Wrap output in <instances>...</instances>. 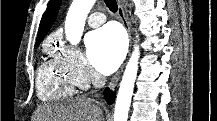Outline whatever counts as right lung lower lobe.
I'll return each instance as SVG.
<instances>
[{
	"label": "right lung lower lobe",
	"instance_id": "1",
	"mask_svg": "<svg viewBox=\"0 0 217 121\" xmlns=\"http://www.w3.org/2000/svg\"><path fill=\"white\" fill-rule=\"evenodd\" d=\"M114 96H115V93H113L112 91L105 90V99L109 104L113 102Z\"/></svg>",
	"mask_w": 217,
	"mask_h": 121
}]
</instances>
